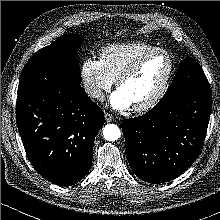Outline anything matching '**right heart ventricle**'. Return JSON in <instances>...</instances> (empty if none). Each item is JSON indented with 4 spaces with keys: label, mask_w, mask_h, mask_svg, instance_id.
<instances>
[{
    "label": "right heart ventricle",
    "mask_w": 220,
    "mask_h": 220,
    "mask_svg": "<svg viewBox=\"0 0 220 220\" xmlns=\"http://www.w3.org/2000/svg\"><path fill=\"white\" fill-rule=\"evenodd\" d=\"M157 47L143 42L113 44L106 46L100 53V61L109 74L115 80L142 54Z\"/></svg>",
    "instance_id": "1"
}]
</instances>
